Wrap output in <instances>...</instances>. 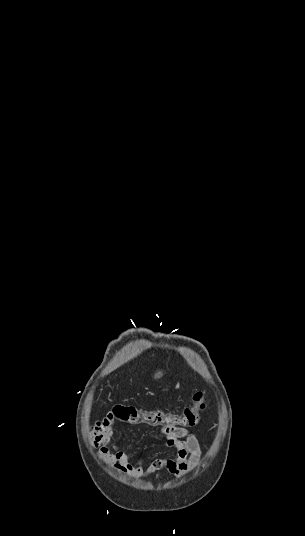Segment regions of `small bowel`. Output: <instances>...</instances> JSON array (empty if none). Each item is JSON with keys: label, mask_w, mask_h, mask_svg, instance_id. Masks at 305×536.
<instances>
[{"label": "small bowel", "mask_w": 305, "mask_h": 536, "mask_svg": "<svg viewBox=\"0 0 305 536\" xmlns=\"http://www.w3.org/2000/svg\"><path fill=\"white\" fill-rule=\"evenodd\" d=\"M101 418L91 426V444L98 449V456L119 473L147 479L157 471L166 469L175 476L182 477L193 470L200 459V445L195 435L185 427L174 425L160 427L165 445L174 451L173 456L156 458L145 466L142 457H135L122 449L120 442L112 435V422L116 418L114 411H103Z\"/></svg>", "instance_id": "obj_1"}]
</instances>
